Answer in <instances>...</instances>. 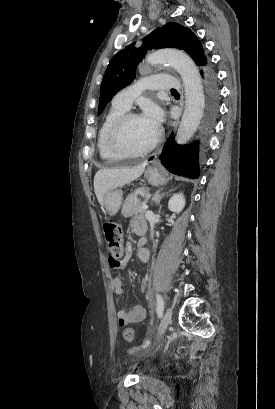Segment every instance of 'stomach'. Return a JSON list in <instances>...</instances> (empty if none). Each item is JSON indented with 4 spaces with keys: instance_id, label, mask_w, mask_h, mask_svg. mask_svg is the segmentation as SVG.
Returning a JSON list of instances; mask_svg holds the SVG:
<instances>
[{
    "instance_id": "1",
    "label": "stomach",
    "mask_w": 275,
    "mask_h": 409,
    "mask_svg": "<svg viewBox=\"0 0 275 409\" xmlns=\"http://www.w3.org/2000/svg\"><path fill=\"white\" fill-rule=\"evenodd\" d=\"M145 176L148 178V182L154 184V186H160V184H166V182H168V178H166L163 172H160L156 166H148L145 170ZM122 200L123 192L120 188L107 190L103 198V207H105L109 215H116L122 205Z\"/></svg>"
}]
</instances>
